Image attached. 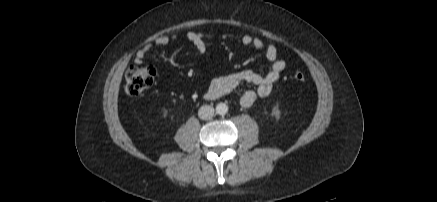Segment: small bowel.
I'll list each match as a JSON object with an SVG mask.
<instances>
[{"mask_svg": "<svg viewBox=\"0 0 437 202\" xmlns=\"http://www.w3.org/2000/svg\"><path fill=\"white\" fill-rule=\"evenodd\" d=\"M181 36L180 32L171 35H163L145 44L135 55V63L141 64L145 56L159 46H167ZM185 37L198 50L200 54L207 51V42L216 38V35L200 31H189ZM241 42L244 45L252 46L257 51L263 52L265 58L271 63L270 70L261 75L253 70H243L230 75L214 77L206 92V98L210 100L218 99L224 95L234 92L241 84H252L253 89L244 91L240 96V103L243 107H251L260 99L267 97L279 80L281 73L286 68V62L278 58V49L273 43H265L259 38L250 35H243Z\"/></svg>", "mask_w": 437, "mask_h": 202, "instance_id": "c3829d8e", "label": "small bowel"}]
</instances>
